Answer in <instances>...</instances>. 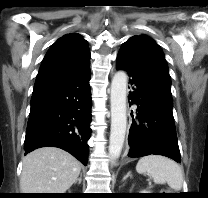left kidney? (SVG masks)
<instances>
[{
	"label": "left kidney",
	"mask_w": 208,
	"mask_h": 198,
	"mask_svg": "<svg viewBox=\"0 0 208 198\" xmlns=\"http://www.w3.org/2000/svg\"><path fill=\"white\" fill-rule=\"evenodd\" d=\"M141 193H148L147 191H141Z\"/></svg>",
	"instance_id": "obj_1"
}]
</instances>
